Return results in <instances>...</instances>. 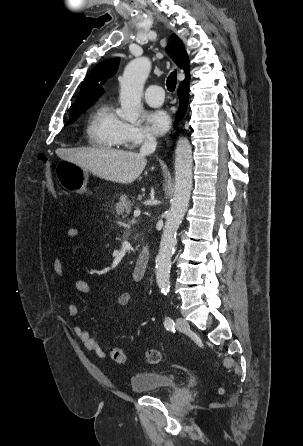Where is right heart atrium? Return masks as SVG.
Returning <instances> with one entry per match:
<instances>
[{
  "label": "right heart atrium",
  "mask_w": 303,
  "mask_h": 446,
  "mask_svg": "<svg viewBox=\"0 0 303 446\" xmlns=\"http://www.w3.org/2000/svg\"><path fill=\"white\" fill-rule=\"evenodd\" d=\"M123 143L131 148L154 142V136L138 124L123 122L121 127Z\"/></svg>",
  "instance_id": "d8ad5b80"
}]
</instances>
